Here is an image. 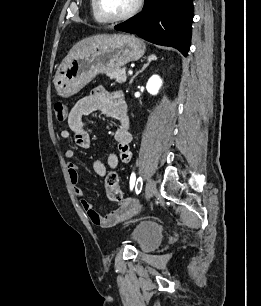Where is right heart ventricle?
Returning <instances> with one entry per match:
<instances>
[{
    "mask_svg": "<svg viewBox=\"0 0 261 306\" xmlns=\"http://www.w3.org/2000/svg\"><path fill=\"white\" fill-rule=\"evenodd\" d=\"M90 4H91L92 15H93V18L95 19V21H97L99 23H105V21L96 12L95 1L94 0H90Z\"/></svg>",
    "mask_w": 261,
    "mask_h": 306,
    "instance_id": "e07e8e85",
    "label": "right heart ventricle"
}]
</instances>
